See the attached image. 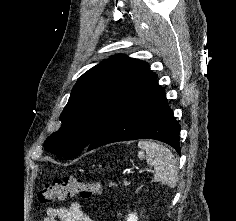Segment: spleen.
I'll return each mask as SVG.
<instances>
[{
  "instance_id": "obj_1",
  "label": "spleen",
  "mask_w": 236,
  "mask_h": 221,
  "mask_svg": "<svg viewBox=\"0 0 236 221\" xmlns=\"http://www.w3.org/2000/svg\"><path fill=\"white\" fill-rule=\"evenodd\" d=\"M138 147L141 149L138 157L145 159L147 164L154 167V179L174 188L178 181V167L171 150L166 146L146 140H140Z\"/></svg>"
}]
</instances>
